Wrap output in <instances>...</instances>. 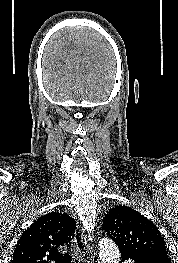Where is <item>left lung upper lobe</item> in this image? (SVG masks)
Returning <instances> with one entry per match:
<instances>
[{
    "mask_svg": "<svg viewBox=\"0 0 178 263\" xmlns=\"http://www.w3.org/2000/svg\"><path fill=\"white\" fill-rule=\"evenodd\" d=\"M102 227L118 245L120 252L131 256L169 258L165 241L157 227L132 208L116 206L110 209Z\"/></svg>",
    "mask_w": 178,
    "mask_h": 263,
    "instance_id": "1",
    "label": "left lung upper lobe"
}]
</instances>
